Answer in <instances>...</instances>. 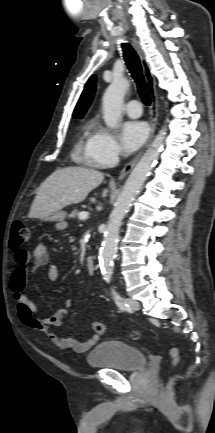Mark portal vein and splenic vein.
Listing matches in <instances>:
<instances>
[{
    "instance_id": "obj_1",
    "label": "portal vein and splenic vein",
    "mask_w": 215,
    "mask_h": 433,
    "mask_svg": "<svg viewBox=\"0 0 215 433\" xmlns=\"http://www.w3.org/2000/svg\"><path fill=\"white\" fill-rule=\"evenodd\" d=\"M87 216H88V213H87V212H81V213L79 214V219H80V220H85V219L87 218Z\"/></svg>"
}]
</instances>
